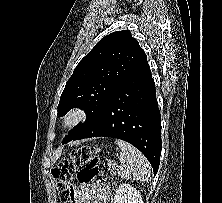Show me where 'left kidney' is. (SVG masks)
<instances>
[{
    "instance_id": "1",
    "label": "left kidney",
    "mask_w": 222,
    "mask_h": 203,
    "mask_svg": "<svg viewBox=\"0 0 222 203\" xmlns=\"http://www.w3.org/2000/svg\"><path fill=\"white\" fill-rule=\"evenodd\" d=\"M113 203H143V200L136 188L123 183L116 190Z\"/></svg>"
}]
</instances>
